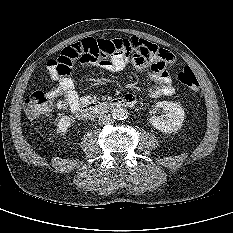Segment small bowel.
Masks as SVG:
<instances>
[{
  "instance_id": "obj_1",
  "label": "small bowel",
  "mask_w": 233,
  "mask_h": 233,
  "mask_svg": "<svg viewBox=\"0 0 233 233\" xmlns=\"http://www.w3.org/2000/svg\"><path fill=\"white\" fill-rule=\"evenodd\" d=\"M129 41L133 45L129 58L127 55L117 54L108 60L96 62L95 66L113 73L122 71L128 63L136 69L149 68V79L151 81L148 89L149 96L153 98L172 96L175 89L168 73V67L175 62L174 54L145 40L134 39ZM47 65L51 79L57 83V88L53 93L58 96V108L62 110L69 108L72 113L79 118H83L80 115V110L84 105L90 103L91 97L79 95L70 74L60 75L55 69L53 60H49ZM126 97L134 96L127 94Z\"/></svg>"
}]
</instances>
